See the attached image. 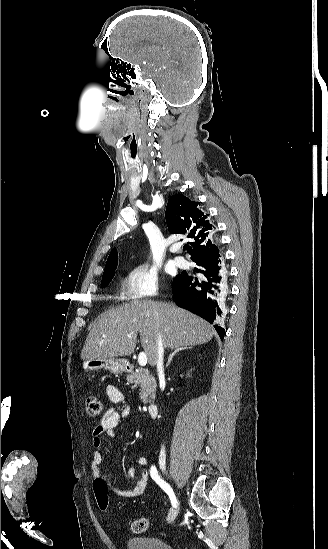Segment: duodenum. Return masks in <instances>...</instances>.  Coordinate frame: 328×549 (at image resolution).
<instances>
[{
    "label": "duodenum",
    "mask_w": 328,
    "mask_h": 549,
    "mask_svg": "<svg viewBox=\"0 0 328 549\" xmlns=\"http://www.w3.org/2000/svg\"><path fill=\"white\" fill-rule=\"evenodd\" d=\"M148 413L150 414V416L152 417H156L157 414H158V405L156 403H150L148 405Z\"/></svg>",
    "instance_id": "duodenum-1"
}]
</instances>
